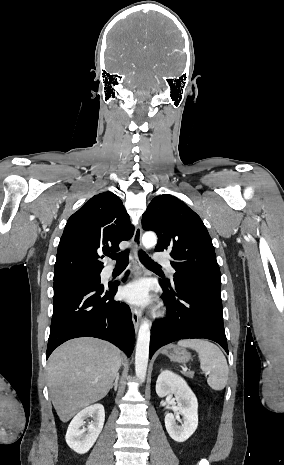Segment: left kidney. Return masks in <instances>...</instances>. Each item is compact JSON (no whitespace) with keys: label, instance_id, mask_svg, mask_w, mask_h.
I'll return each instance as SVG.
<instances>
[{"label":"left kidney","instance_id":"left-kidney-1","mask_svg":"<svg viewBox=\"0 0 284 465\" xmlns=\"http://www.w3.org/2000/svg\"><path fill=\"white\" fill-rule=\"evenodd\" d=\"M156 393L158 397L174 395L175 401H177L176 415L167 413L165 427L171 439L177 443H184L198 427V401L193 391L182 377L171 373V371H163L157 379ZM177 415H182L183 419L180 421L182 425H177Z\"/></svg>","mask_w":284,"mask_h":465}]
</instances>
